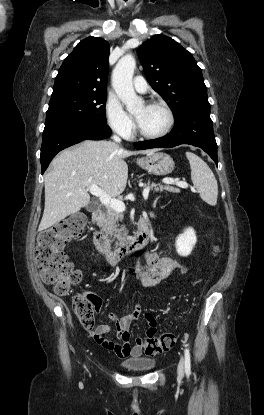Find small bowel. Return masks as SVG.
<instances>
[{
  "mask_svg": "<svg viewBox=\"0 0 264 415\" xmlns=\"http://www.w3.org/2000/svg\"><path fill=\"white\" fill-rule=\"evenodd\" d=\"M147 218H156V214L154 212H149ZM176 268L177 263L175 259L167 256H158L154 252H147L135 270L143 287H154L175 274ZM97 306L98 309L101 308L100 300H98ZM123 309L126 311L130 310L128 305H123ZM143 312L144 305L142 303H136L127 316L115 321L114 329L119 337V342H114L104 337L105 334L111 331L109 325H97L93 332L97 345L126 358L137 359L141 357L145 344L139 339H137L134 344H131L129 342V329L132 321L143 314ZM107 317L109 319H114V315L111 313L108 314ZM145 319L148 323V332L155 334L157 332V322L155 318L150 314H146Z\"/></svg>",
  "mask_w": 264,
  "mask_h": 415,
  "instance_id": "c3829d8e",
  "label": "small bowel"
}]
</instances>
